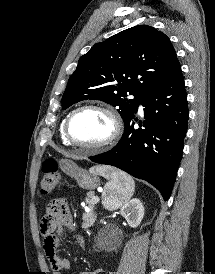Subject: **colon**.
Segmentation results:
<instances>
[{"instance_id": "1", "label": "colon", "mask_w": 215, "mask_h": 274, "mask_svg": "<svg viewBox=\"0 0 215 274\" xmlns=\"http://www.w3.org/2000/svg\"><path fill=\"white\" fill-rule=\"evenodd\" d=\"M60 183L58 164L54 159H46L42 165L41 193L47 195L53 192Z\"/></svg>"}]
</instances>
